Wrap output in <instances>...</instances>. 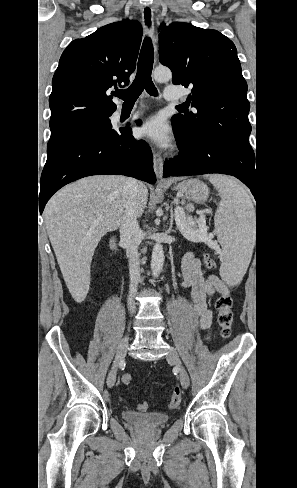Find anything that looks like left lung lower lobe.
<instances>
[{"label": "left lung lower lobe", "instance_id": "0a47b994", "mask_svg": "<svg viewBox=\"0 0 297 488\" xmlns=\"http://www.w3.org/2000/svg\"><path fill=\"white\" fill-rule=\"evenodd\" d=\"M172 126L180 154L165 161V177L207 173L232 175L250 188L258 202V173L251 147L211 137L184 140Z\"/></svg>", "mask_w": 297, "mask_h": 488}]
</instances>
